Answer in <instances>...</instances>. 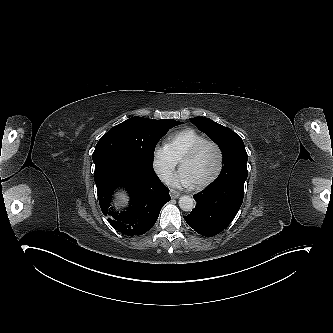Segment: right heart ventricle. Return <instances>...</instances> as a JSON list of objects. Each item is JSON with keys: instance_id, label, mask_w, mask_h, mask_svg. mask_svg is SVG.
<instances>
[{"instance_id": "e07e8e85", "label": "right heart ventricle", "mask_w": 333, "mask_h": 333, "mask_svg": "<svg viewBox=\"0 0 333 333\" xmlns=\"http://www.w3.org/2000/svg\"><path fill=\"white\" fill-rule=\"evenodd\" d=\"M205 139L206 137L196 130L185 129L173 135L168 140L167 147L175 159L180 161L192 147Z\"/></svg>"}]
</instances>
